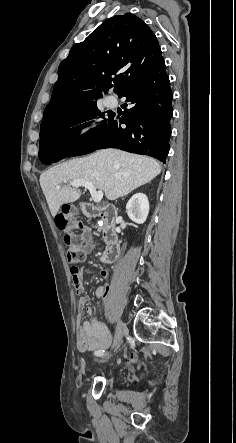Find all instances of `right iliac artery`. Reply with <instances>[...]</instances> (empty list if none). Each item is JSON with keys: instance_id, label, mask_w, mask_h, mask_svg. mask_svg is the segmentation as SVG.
I'll return each instance as SVG.
<instances>
[{"instance_id": "obj_1", "label": "right iliac artery", "mask_w": 236, "mask_h": 443, "mask_svg": "<svg viewBox=\"0 0 236 443\" xmlns=\"http://www.w3.org/2000/svg\"><path fill=\"white\" fill-rule=\"evenodd\" d=\"M103 354H104V350L95 352V355H97V356H102Z\"/></svg>"}]
</instances>
